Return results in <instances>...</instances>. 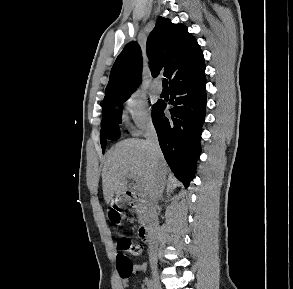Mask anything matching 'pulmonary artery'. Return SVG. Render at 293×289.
Masks as SVG:
<instances>
[{"instance_id":"obj_1","label":"pulmonary artery","mask_w":293,"mask_h":289,"mask_svg":"<svg viewBox=\"0 0 293 289\" xmlns=\"http://www.w3.org/2000/svg\"><path fill=\"white\" fill-rule=\"evenodd\" d=\"M153 88L156 93H161L163 90L162 84L159 80H155L153 83Z\"/></svg>"}]
</instances>
